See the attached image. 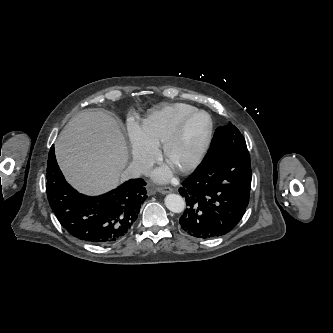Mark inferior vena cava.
Segmentation results:
<instances>
[{
    "label": "inferior vena cava",
    "mask_w": 333,
    "mask_h": 333,
    "mask_svg": "<svg viewBox=\"0 0 333 333\" xmlns=\"http://www.w3.org/2000/svg\"><path fill=\"white\" fill-rule=\"evenodd\" d=\"M149 170V166L143 162L134 160L130 163L127 169L121 174L122 180H126L129 178H138L142 174L147 173Z\"/></svg>",
    "instance_id": "inferior-vena-cava-1"
}]
</instances>
